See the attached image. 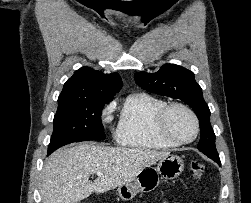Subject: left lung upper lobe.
Segmentation results:
<instances>
[{"label":"left lung upper lobe","mask_w":251,"mask_h":203,"mask_svg":"<svg viewBox=\"0 0 251 203\" xmlns=\"http://www.w3.org/2000/svg\"><path fill=\"white\" fill-rule=\"evenodd\" d=\"M134 79L146 91L187 103L200 122L201 139L197 148L209 158L220 160L215 147V134L210 124V110L192 71L175 64H165L156 73L138 72Z\"/></svg>","instance_id":"obj_1"}]
</instances>
